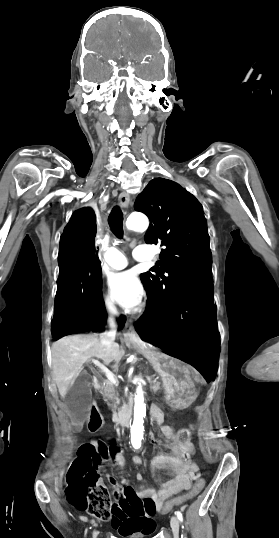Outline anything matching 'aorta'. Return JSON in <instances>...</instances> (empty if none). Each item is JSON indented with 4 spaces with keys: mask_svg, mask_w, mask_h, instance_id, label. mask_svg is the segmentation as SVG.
I'll return each instance as SVG.
<instances>
[{
    "mask_svg": "<svg viewBox=\"0 0 279 538\" xmlns=\"http://www.w3.org/2000/svg\"><path fill=\"white\" fill-rule=\"evenodd\" d=\"M148 226V218L140 213L131 214L126 221V227L129 230L144 232L147 230ZM134 401V421L131 426V443L134 448H139L143 438V418L145 416L144 396L141 384H139L136 389Z\"/></svg>",
    "mask_w": 279,
    "mask_h": 538,
    "instance_id": "obj_1",
    "label": "aorta"
}]
</instances>
